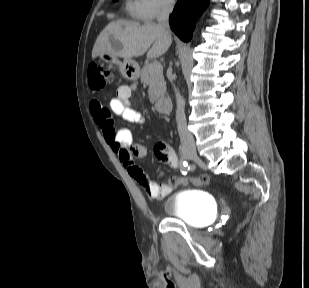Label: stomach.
Returning <instances> with one entry per match:
<instances>
[{"mask_svg": "<svg viewBox=\"0 0 309 288\" xmlns=\"http://www.w3.org/2000/svg\"><path fill=\"white\" fill-rule=\"evenodd\" d=\"M98 57L100 60L110 65H117L122 75L128 80L136 81L139 78L140 68L135 60L131 58H125L123 61H121L117 56L110 53H101L98 55Z\"/></svg>", "mask_w": 309, "mask_h": 288, "instance_id": "0dacf381", "label": "stomach"}]
</instances>
